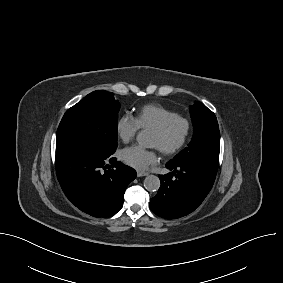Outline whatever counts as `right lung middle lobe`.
<instances>
[{"label":"right lung middle lobe","instance_id":"1","mask_svg":"<svg viewBox=\"0 0 283 283\" xmlns=\"http://www.w3.org/2000/svg\"><path fill=\"white\" fill-rule=\"evenodd\" d=\"M120 103L111 92L98 90L85 96L64 114L56 135V151L80 145L103 153L117 148Z\"/></svg>","mask_w":283,"mask_h":283}]
</instances>
